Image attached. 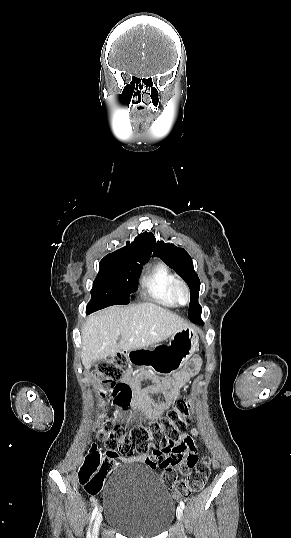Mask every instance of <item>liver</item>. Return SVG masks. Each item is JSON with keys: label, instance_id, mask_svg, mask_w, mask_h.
I'll return each mask as SVG.
<instances>
[{"label": "liver", "instance_id": "6515ba94", "mask_svg": "<svg viewBox=\"0 0 291 538\" xmlns=\"http://www.w3.org/2000/svg\"><path fill=\"white\" fill-rule=\"evenodd\" d=\"M189 326L178 315L151 302L106 308L90 315L82 329V362L89 367L93 361L148 347Z\"/></svg>", "mask_w": 291, "mask_h": 538}]
</instances>
